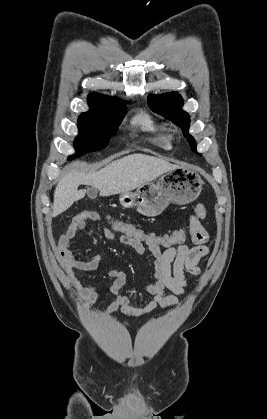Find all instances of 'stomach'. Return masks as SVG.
<instances>
[{"instance_id": "1", "label": "stomach", "mask_w": 267, "mask_h": 419, "mask_svg": "<svg viewBox=\"0 0 267 419\" xmlns=\"http://www.w3.org/2000/svg\"><path fill=\"white\" fill-rule=\"evenodd\" d=\"M202 185L197 170L189 166H177L164 173L156 183H144L134 193H121L119 201L124 208H136L144 216L155 217L170 203L184 205L194 201Z\"/></svg>"}]
</instances>
